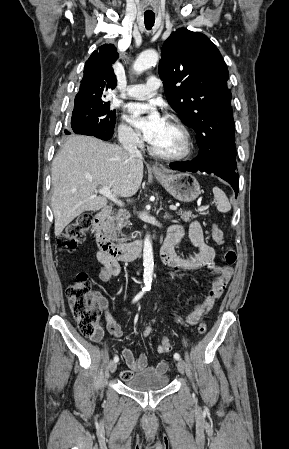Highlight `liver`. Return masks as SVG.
Here are the masks:
<instances>
[{"label":"liver","mask_w":289,"mask_h":449,"mask_svg":"<svg viewBox=\"0 0 289 449\" xmlns=\"http://www.w3.org/2000/svg\"><path fill=\"white\" fill-rule=\"evenodd\" d=\"M51 177L54 233L59 236L83 212L107 206V197L97 195L98 186L108 187L115 197L133 196L143 179V161L118 145L73 135L54 157Z\"/></svg>","instance_id":"6515ba94"}]
</instances>
